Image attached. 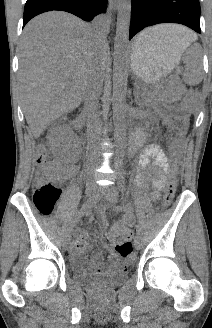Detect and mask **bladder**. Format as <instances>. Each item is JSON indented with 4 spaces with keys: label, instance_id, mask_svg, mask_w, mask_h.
Returning <instances> with one entry per match:
<instances>
[{
    "label": "bladder",
    "instance_id": "31cf9c89",
    "mask_svg": "<svg viewBox=\"0 0 212 328\" xmlns=\"http://www.w3.org/2000/svg\"><path fill=\"white\" fill-rule=\"evenodd\" d=\"M73 279L85 287L110 288L123 284L128 275L125 272H112L99 276L89 272L87 260L84 257L74 258L71 262Z\"/></svg>",
    "mask_w": 212,
    "mask_h": 328
}]
</instances>
